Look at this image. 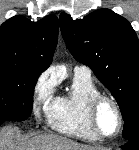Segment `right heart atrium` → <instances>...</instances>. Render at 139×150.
<instances>
[{
  "label": "right heart atrium",
  "mask_w": 139,
  "mask_h": 150,
  "mask_svg": "<svg viewBox=\"0 0 139 150\" xmlns=\"http://www.w3.org/2000/svg\"><path fill=\"white\" fill-rule=\"evenodd\" d=\"M52 90V82L46 77V75H41L35 84V109H37L40 106L45 107L47 105L51 98Z\"/></svg>",
  "instance_id": "d8ad5b80"
}]
</instances>
